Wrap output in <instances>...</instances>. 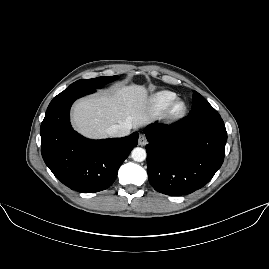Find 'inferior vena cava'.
Instances as JSON below:
<instances>
[{
	"label": "inferior vena cava",
	"mask_w": 269,
	"mask_h": 269,
	"mask_svg": "<svg viewBox=\"0 0 269 269\" xmlns=\"http://www.w3.org/2000/svg\"><path fill=\"white\" fill-rule=\"evenodd\" d=\"M132 124L128 122H123L119 124L112 125L108 128L107 132L111 136L123 137L130 134Z\"/></svg>",
	"instance_id": "obj_1"
}]
</instances>
